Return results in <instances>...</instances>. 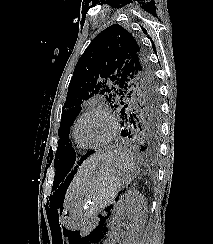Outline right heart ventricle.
Returning <instances> with one entry per match:
<instances>
[{"label":"right heart ventricle","mask_w":213,"mask_h":244,"mask_svg":"<svg viewBox=\"0 0 213 244\" xmlns=\"http://www.w3.org/2000/svg\"><path fill=\"white\" fill-rule=\"evenodd\" d=\"M75 141V140H74ZM76 143V142H75ZM76 145L78 146V147H80L77 143H76Z\"/></svg>","instance_id":"e07e8e85"}]
</instances>
